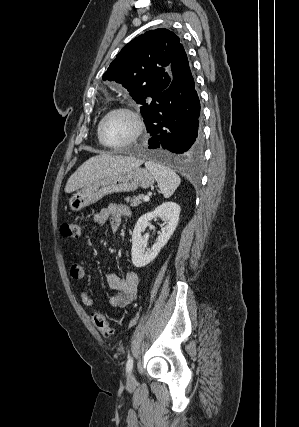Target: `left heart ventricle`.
Returning <instances> with one entry per match:
<instances>
[{
  "mask_svg": "<svg viewBox=\"0 0 299 427\" xmlns=\"http://www.w3.org/2000/svg\"><path fill=\"white\" fill-rule=\"evenodd\" d=\"M101 133L104 142L112 145L123 144L132 137L134 124L126 114L115 113L105 120Z\"/></svg>",
  "mask_w": 299,
  "mask_h": 427,
  "instance_id": "1",
  "label": "left heart ventricle"
}]
</instances>
